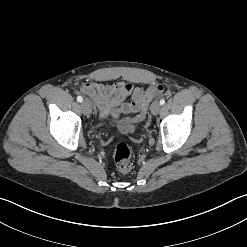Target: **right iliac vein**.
<instances>
[{"label":"right iliac vein","mask_w":247,"mask_h":247,"mask_svg":"<svg viewBox=\"0 0 247 247\" xmlns=\"http://www.w3.org/2000/svg\"><path fill=\"white\" fill-rule=\"evenodd\" d=\"M82 110H83V113L85 115H90L91 114L92 108H91V104H90L89 101L84 100L82 102Z\"/></svg>","instance_id":"obj_1"}]
</instances>
